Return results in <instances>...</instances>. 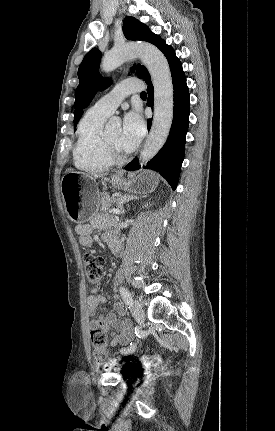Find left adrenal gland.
I'll return each instance as SVG.
<instances>
[{"instance_id":"obj_1","label":"left adrenal gland","mask_w":275,"mask_h":431,"mask_svg":"<svg viewBox=\"0 0 275 431\" xmlns=\"http://www.w3.org/2000/svg\"><path fill=\"white\" fill-rule=\"evenodd\" d=\"M139 198H141V197H137V196H133V195H124V196H120L118 199H117V202H118V208L120 209V211H121V214L123 215L124 214V207H123V205L125 204V203H127V202H129V201H132V200H137V199H139Z\"/></svg>"}]
</instances>
